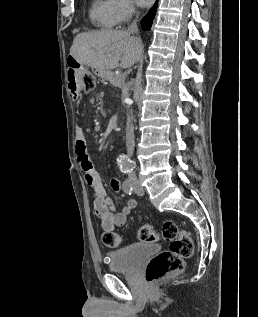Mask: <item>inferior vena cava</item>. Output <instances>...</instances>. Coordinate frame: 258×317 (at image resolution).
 Here are the masks:
<instances>
[{
  "mask_svg": "<svg viewBox=\"0 0 258 317\" xmlns=\"http://www.w3.org/2000/svg\"><path fill=\"white\" fill-rule=\"evenodd\" d=\"M128 32H131V34H134V32H138V26H137V20H133L131 22ZM134 120L133 116L131 114H127V122H126V146H127V152L128 156H132L134 152V146H135V140H134V124L132 122ZM130 179H135L134 172H129Z\"/></svg>",
  "mask_w": 258,
  "mask_h": 317,
  "instance_id": "obj_1",
  "label": "inferior vena cava"
}]
</instances>
